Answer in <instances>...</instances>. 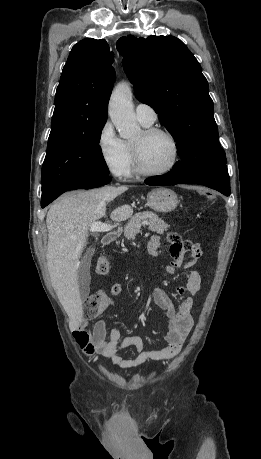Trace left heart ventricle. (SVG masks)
I'll return each instance as SVG.
<instances>
[{"label":"left heart ventricle","mask_w":261,"mask_h":459,"mask_svg":"<svg viewBox=\"0 0 261 459\" xmlns=\"http://www.w3.org/2000/svg\"><path fill=\"white\" fill-rule=\"evenodd\" d=\"M133 143L139 146L142 162L150 170L164 169L172 160V145L164 135L155 134L145 137L141 132Z\"/></svg>","instance_id":"obj_1"}]
</instances>
